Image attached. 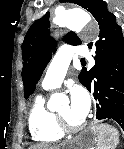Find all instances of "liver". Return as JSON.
<instances>
[{
	"label": "liver",
	"mask_w": 124,
	"mask_h": 149,
	"mask_svg": "<svg viewBox=\"0 0 124 149\" xmlns=\"http://www.w3.org/2000/svg\"><path fill=\"white\" fill-rule=\"evenodd\" d=\"M29 149H60L59 147H51L49 145H44V144H38V145H33Z\"/></svg>",
	"instance_id": "6515ba94"
}]
</instances>
